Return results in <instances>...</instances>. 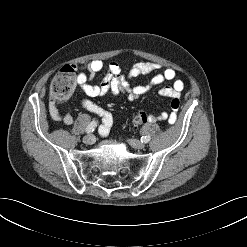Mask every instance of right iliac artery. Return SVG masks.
Here are the masks:
<instances>
[{
  "mask_svg": "<svg viewBox=\"0 0 247 247\" xmlns=\"http://www.w3.org/2000/svg\"><path fill=\"white\" fill-rule=\"evenodd\" d=\"M97 127V121H92L86 128V133H92Z\"/></svg>",
  "mask_w": 247,
  "mask_h": 247,
  "instance_id": "right-iliac-artery-1",
  "label": "right iliac artery"
}]
</instances>
